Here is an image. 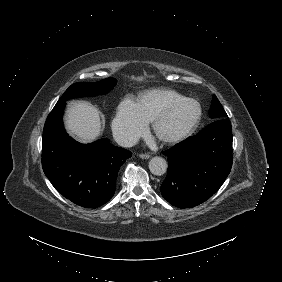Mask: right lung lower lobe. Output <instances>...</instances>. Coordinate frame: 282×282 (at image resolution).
<instances>
[{
    "label": "right lung lower lobe",
    "mask_w": 282,
    "mask_h": 282,
    "mask_svg": "<svg viewBox=\"0 0 282 282\" xmlns=\"http://www.w3.org/2000/svg\"><path fill=\"white\" fill-rule=\"evenodd\" d=\"M65 102L49 114L42 139V167L52 185L64 197L85 208L108 202L115 193L118 171L131 152L108 139L80 144L63 127Z\"/></svg>",
    "instance_id": "1"
}]
</instances>
